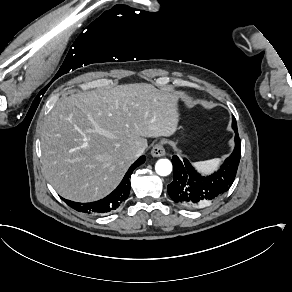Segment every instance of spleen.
Instances as JSON below:
<instances>
[{
    "label": "spleen",
    "instance_id": "spleen-1",
    "mask_svg": "<svg viewBox=\"0 0 292 292\" xmlns=\"http://www.w3.org/2000/svg\"><path fill=\"white\" fill-rule=\"evenodd\" d=\"M219 162V159H209L204 161H199L195 163L197 167H199L201 170L211 171L214 169Z\"/></svg>",
    "mask_w": 292,
    "mask_h": 292
}]
</instances>
